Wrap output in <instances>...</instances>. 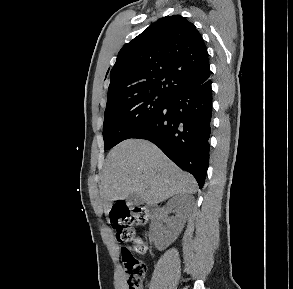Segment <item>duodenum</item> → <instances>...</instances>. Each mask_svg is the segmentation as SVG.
Returning a JSON list of instances; mask_svg holds the SVG:
<instances>
[{"label":"duodenum","instance_id":"1","mask_svg":"<svg viewBox=\"0 0 293 289\" xmlns=\"http://www.w3.org/2000/svg\"><path fill=\"white\" fill-rule=\"evenodd\" d=\"M149 215L150 216H153V215H155V213H156V207L155 206H151V207H149Z\"/></svg>","mask_w":293,"mask_h":289}]
</instances>
